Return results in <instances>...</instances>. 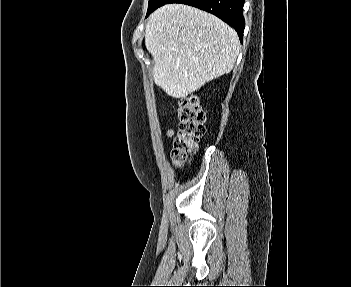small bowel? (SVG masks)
Instances as JSON below:
<instances>
[{"instance_id":"small-bowel-1","label":"small bowel","mask_w":351,"mask_h":287,"mask_svg":"<svg viewBox=\"0 0 351 287\" xmlns=\"http://www.w3.org/2000/svg\"><path fill=\"white\" fill-rule=\"evenodd\" d=\"M165 135L167 137H172L174 135V129H169L166 131Z\"/></svg>"}]
</instances>
